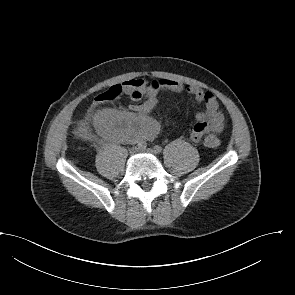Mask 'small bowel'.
Returning a JSON list of instances; mask_svg holds the SVG:
<instances>
[{
  "instance_id": "obj_1",
  "label": "small bowel",
  "mask_w": 295,
  "mask_h": 295,
  "mask_svg": "<svg viewBox=\"0 0 295 295\" xmlns=\"http://www.w3.org/2000/svg\"><path fill=\"white\" fill-rule=\"evenodd\" d=\"M123 90L136 103L130 106V112L103 109L96 114L95 126L104 137L122 142L153 138L158 132V124L148 114L156 107L159 94L166 91L186 92L196 102L204 104V109L196 114V123L190 134L193 142H199L206 134L217 135L224 129L225 116L216 96L197 86L167 79H133L123 83Z\"/></svg>"
}]
</instances>
